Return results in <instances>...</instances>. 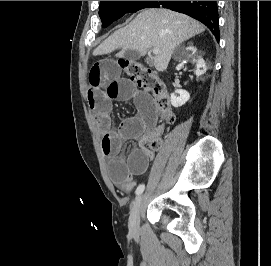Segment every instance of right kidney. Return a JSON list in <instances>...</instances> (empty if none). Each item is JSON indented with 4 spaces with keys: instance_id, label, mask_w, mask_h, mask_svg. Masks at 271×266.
Returning a JSON list of instances; mask_svg holds the SVG:
<instances>
[{
    "instance_id": "obj_1",
    "label": "right kidney",
    "mask_w": 271,
    "mask_h": 266,
    "mask_svg": "<svg viewBox=\"0 0 271 266\" xmlns=\"http://www.w3.org/2000/svg\"><path fill=\"white\" fill-rule=\"evenodd\" d=\"M183 58L185 60L191 59L193 63L196 64V76L200 77L206 72L205 61L201 56L196 53V48L193 45H190L185 48L183 53ZM190 99V94L185 90H176L175 93H172L170 96V101L172 106L180 107L184 105Z\"/></svg>"
}]
</instances>
